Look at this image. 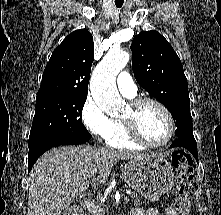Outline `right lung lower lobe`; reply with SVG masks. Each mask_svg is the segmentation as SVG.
Returning a JSON list of instances; mask_svg holds the SVG:
<instances>
[{"mask_svg": "<svg viewBox=\"0 0 221 215\" xmlns=\"http://www.w3.org/2000/svg\"><path fill=\"white\" fill-rule=\"evenodd\" d=\"M91 138V135L88 133L83 136L70 138V139H62V140H50L46 142L39 143L31 148H29V161H28V170L30 171L37 161V159L47 150L52 147H56L59 145H77L87 142Z\"/></svg>", "mask_w": 221, "mask_h": 215, "instance_id": "1", "label": "right lung lower lobe"}]
</instances>
